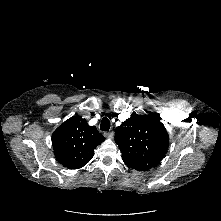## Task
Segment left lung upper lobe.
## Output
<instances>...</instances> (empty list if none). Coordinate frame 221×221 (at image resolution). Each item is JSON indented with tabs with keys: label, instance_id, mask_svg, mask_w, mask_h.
Listing matches in <instances>:
<instances>
[{
	"label": "left lung upper lobe",
	"instance_id": "left-lung-upper-lobe-1",
	"mask_svg": "<svg viewBox=\"0 0 221 221\" xmlns=\"http://www.w3.org/2000/svg\"><path fill=\"white\" fill-rule=\"evenodd\" d=\"M159 119L155 115L132 114L116 128L115 142L126 165L138 171H146L156 166L165 156L169 136Z\"/></svg>",
	"mask_w": 221,
	"mask_h": 221
}]
</instances>
